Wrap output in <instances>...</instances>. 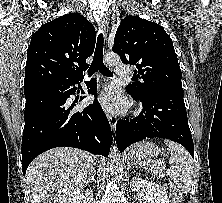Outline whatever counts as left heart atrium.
I'll list each match as a JSON object with an SVG mask.
<instances>
[{"mask_svg":"<svg viewBox=\"0 0 222 203\" xmlns=\"http://www.w3.org/2000/svg\"><path fill=\"white\" fill-rule=\"evenodd\" d=\"M100 102L105 108L110 111H119L124 105V99L120 96L119 92L113 88H106L99 96Z\"/></svg>","mask_w":222,"mask_h":203,"instance_id":"obj_1","label":"left heart atrium"}]
</instances>
